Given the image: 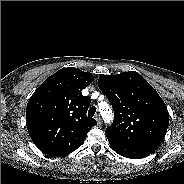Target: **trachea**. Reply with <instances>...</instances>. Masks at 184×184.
<instances>
[{"instance_id":"1","label":"trachea","mask_w":184,"mask_h":184,"mask_svg":"<svg viewBox=\"0 0 184 184\" xmlns=\"http://www.w3.org/2000/svg\"><path fill=\"white\" fill-rule=\"evenodd\" d=\"M96 112V108L95 107H91L88 111V117H93L94 114Z\"/></svg>"}]
</instances>
